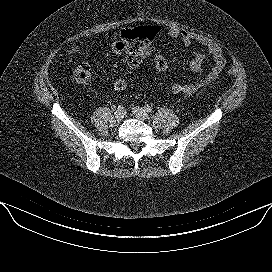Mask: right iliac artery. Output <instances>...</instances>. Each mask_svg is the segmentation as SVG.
Returning <instances> with one entry per match:
<instances>
[{
  "label": "right iliac artery",
  "mask_w": 272,
  "mask_h": 272,
  "mask_svg": "<svg viewBox=\"0 0 272 272\" xmlns=\"http://www.w3.org/2000/svg\"><path fill=\"white\" fill-rule=\"evenodd\" d=\"M117 109L120 110V111H123L124 108H123L122 105H119Z\"/></svg>",
  "instance_id": "82829eb1"
}]
</instances>
